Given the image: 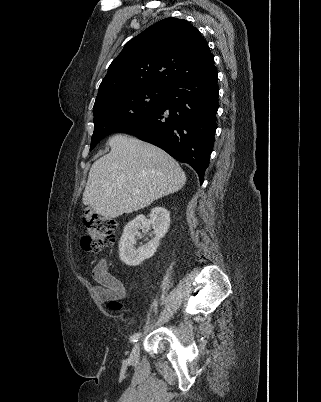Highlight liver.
Wrapping results in <instances>:
<instances>
[{
	"mask_svg": "<svg viewBox=\"0 0 321 402\" xmlns=\"http://www.w3.org/2000/svg\"><path fill=\"white\" fill-rule=\"evenodd\" d=\"M109 145L110 153L91 166L83 192V204L96 214L105 218L129 214L185 185V172L162 149L122 134L111 137Z\"/></svg>",
	"mask_w": 321,
	"mask_h": 402,
	"instance_id": "6515ba94",
	"label": "liver"
}]
</instances>
